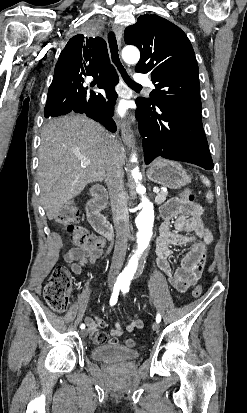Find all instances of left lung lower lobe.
Returning <instances> with one entry per match:
<instances>
[{
	"instance_id": "obj_1",
	"label": "left lung lower lobe",
	"mask_w": 247,
	"mask_h": 413,
	"mask_svg": "<svg viewBox=\"0 0 247 413\" xmlns=\"http://www.w3.org/2000/svg\"><path fill=\"white\" fill-rule=\"evenodd\" d=\"M136 104L139 131L145 137L142 144L146 164L161 156L213 169L201 112L174 104H161L155 108Z\"/></svg>"
}]
</instances>
